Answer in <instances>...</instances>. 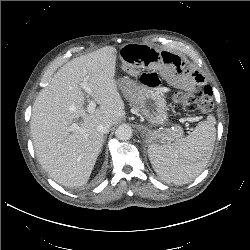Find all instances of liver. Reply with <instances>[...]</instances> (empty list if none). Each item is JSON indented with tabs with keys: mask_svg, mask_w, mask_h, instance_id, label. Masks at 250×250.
I'll use <instances>...</instances> for the list:
<instances>
[{
	"mask_svg": "<svg viewBox=\"0 0 250 250\" xmlns=\"http://www.w3.org/2000/svg\"><path fill=\"white\" fill-rule=\"evenodd\" d=\"M117 50L105 46L74 58L54 74L40 91L32 108L31 134L39 163L48 175L65 187L85 185L104 144L97 127L112 125L124 117V102L115 80ZM88 77L93 100L100 106L84 108L80 83ZM80 119V129L71 125Z\"/></svg>",
	"mask_w": 250,
	"mask_h": 250,
	"instance_id": "6515ba94",
	"label": "liver"
}]
</instances>
